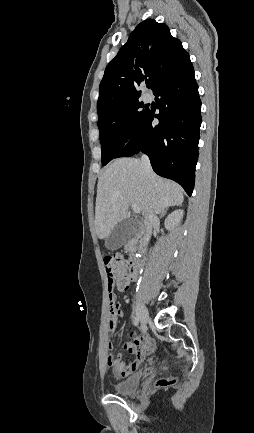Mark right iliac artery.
Returning a JSON list of instances; mask_svg holds the SVG:
<instances>
[{
	"label": "right iliac artery",
	"instance_id": "obj_1",
	"mask_svg": "<svg viewBox=\"0 0 254 433\" xmlns=\"http://www.w3.org/2000/svg\"><path fill=\"white\" fill-rule=\"evenodd\" d=\"M133 324H134L135 326H138V325H139V319H138V317H136V316L133 317Z\"/></svg>",
	"mask_w": 254,
	"mask_h": 433
}]
</instances>
